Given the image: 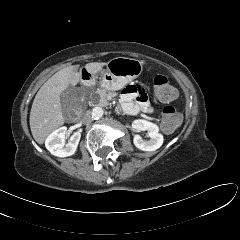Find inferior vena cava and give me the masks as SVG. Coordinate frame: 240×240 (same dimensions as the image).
Here are the masks:
<instances>
[{
	"instance_id": "1",
	"label": "inferior vena cava",
	"mask_w": 240,
	"mask_h": 240,
	"mask_svg": "<svg viewBox=\"0 0 240 240\" xmlns=\"http://www.w3.org/2000/svg\"><path fill=\"white\" fill-rule=\"evenodd\" d=\"M92 121V115L90 111H86V113L84 114V116L82 117V122L85 125L90 124Z\"/></svg>"
}]
</instances>
